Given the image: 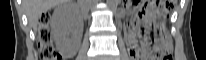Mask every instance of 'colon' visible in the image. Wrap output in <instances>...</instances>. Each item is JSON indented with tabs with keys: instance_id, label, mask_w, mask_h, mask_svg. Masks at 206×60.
Instances as JSON below:
<instances>
[{
	"instance_id": "obj_1",
	"label": "colon",
	"mask_w": 206,
	"mask_h": 60,
	"mask_svg": "<svg viewBox=\"0 0 206 60\" xmlns=\"http://www.w3.org/2000/svg\"><path fill=\"white\" fill-rule=\"evenodd\" d=\"M173 0L160 1L156 7H152V11L159 14H167L173 6ZM50 17L48 14H42L39 18L38 25V46L40 57L43 60H59L58 51L52 44V36L49 30ZM151 36L144 43L143 51L149 60H170L171 59V43L170 40L160 33V29L150 26ZM141 56L139 53L138 58Z\"/></svg>"
}]
</instances>
